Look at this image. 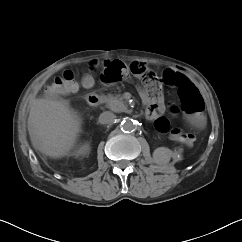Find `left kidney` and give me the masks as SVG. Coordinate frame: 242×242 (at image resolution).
<instances>
[{
	"instance_id": "obj_1",
	"label": "left kidney",
	"mask_w": 242,
	"mask_h": 242,
	"mask_svg": "<svg viewBox=\"0 0 242 242\" xmlns=\"http://www.w3.org/2000/svg\"><path fill=\"white\" fill-rule=\"evenodd\" d=\"M172 156L173 153L166 147H158L153 152V159L157 164H167Z\"/></svg>"
}]
</instances>
